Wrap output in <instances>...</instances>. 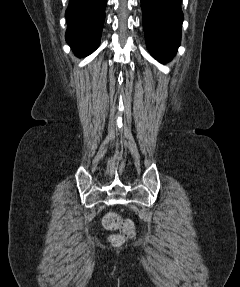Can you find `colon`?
I'll return each mask as SVG.
<instances>
[{"instance_id":"1","label":"colon","mask_w":240,"mask_h":287,"mask_svg":"<svg viewBox=\"0 0 240 287\" xmlns=\"http://www.w3.org/2000/svg\"><path fill=\"white\" fill-rule=\"evenodd\" d=\"M105 228L109 230H118L120 234L114 235L111 238L113 244H120L126 238L134 234V225L130 220H123L117 213L109 212L103 219Z\"/></svg>"}]
</instances>
